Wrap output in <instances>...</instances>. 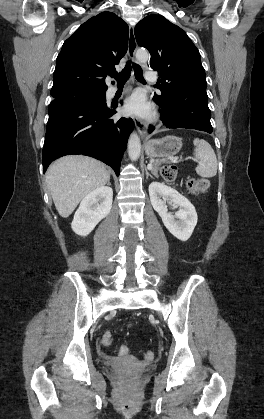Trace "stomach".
Listing matches in <instances>:
<instances>
[{
  "label": "stomach",
  "instance_id": "obj_1",
  "mask_svg": "<svg viewBox=\"0 0 264 419\" xmlns=\"http://www.w3.org/2000/svg\"><path fill=\"white\" fill-rule=\"evenodd\" d=\"M182 148V140L176 136L149 140L145 144V152L150 158H169L176 155Z\"/></svg>",
  "mask_w": 264,
  "mask_h": 419
}]
</instances>
